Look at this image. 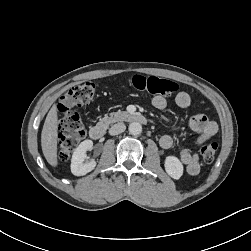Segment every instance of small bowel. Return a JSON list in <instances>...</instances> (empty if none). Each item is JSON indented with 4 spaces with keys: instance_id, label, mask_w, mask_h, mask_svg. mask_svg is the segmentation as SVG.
<instances>
[{
    "instance_id": "obj_1",
    "label": "small bowel",
    "mask_w": 251,
    "mask_h": 251,
    "mask_svg": "<svg viewBox=\"0 0 251 251\" xmlns=\"http://www.w3.org/2000/svg\"><path fill=\"white\" fill-rule=\"evenodd\" d=\"M177 106L180 108H186L191 103L190 95L181 91L175 98ZM152 105L158 109L163 110L167 106V100L163 96H155L152 99ZM190 128L199 134L197 143L201 145L206 140L213 137L217 132V125L215 122L209 120L203 114L194 115L189 121ZM160 145L164 149H169L173 146V139L169 135H163L160 138ZM180 160L184 164L186 171L189 175H197L200 171V164L197 156L192 153L189 149L184 148L180 151Z\"/></svg>"
}]
</instances>
